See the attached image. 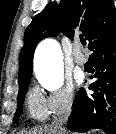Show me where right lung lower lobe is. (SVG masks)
<instances>
[{"mask_svg":"<svg viewBox=\"0 0 116 134\" xmlns=\"http://www.w3.org/2000/svg\"><path fill=\"white\" fill-rule=\"evenodd\" d=\"M97 78L76 93L67 128L74 132L102 129L116 134V34L91 50Z\"/></svg>","mask_w":116,"mask_h":134,"instance_id":"98d812e1","label":"right lung lower lobe"}]
</instances>
